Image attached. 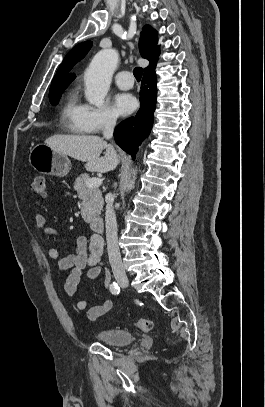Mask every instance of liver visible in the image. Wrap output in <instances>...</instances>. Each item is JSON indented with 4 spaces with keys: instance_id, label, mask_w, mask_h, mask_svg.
<instances>
[{
    "instance_id": "obj_1",
    "label": "liver",
    "mask_w": 265,
    "mask_h": 407,
    "mask_svg": "<svg viewBox=\"0 0 265 407\" xmlns=\"http://www.w3.org/2000/svg\"><path fill=\"white\" fill-rule=\"evenodd\" d=\"M52 149L76 160L86 162L88 171L105 173L112 171L119 163L115 148L95 135H54L45 140ZM106 149L105 155L100 157Z\"/></svg>"
}]
</instances>
